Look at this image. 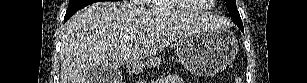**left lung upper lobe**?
Masks as SVG:
<instances>
[{
    "instance_id": "obj_1",
    "label": "left lung upper lobe",
    "mask_w": 307,
    "mask_h": 83,
    "mask_svg": "<svg viewBox=\"0 0 307 83\" xmlns=\"http://www.w3.org/2000/svg\"><path fill=\"white\" fill-rule=\"evenodd\" d=\"M225 1H226V6L228 8V11L231 15L232 21L237 26L242 25L240 14H239L237 7H236V0H225Z\"/></svg>"
}]
</instances>
